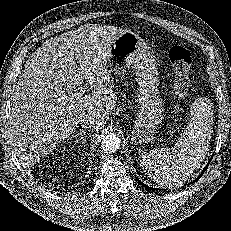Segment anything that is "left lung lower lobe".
Listing matches in <instances>:
<instances>
[{
	"label": "left lung lower lobe",
	"instance_id": "1",
	"mask_svg": "<svg viewBox=\"0 0 231 231\" xmlns=\"http://www.w3.org/2000/svg\"><path fill=\"white\" fill-rule=\"evenodd\" d=\"M210 162H211V159L209 160L207 166L204 168V170L202 171V173L198 176V178L195 179V181H197L198 179H200V177L202 176V174L204 173V171L207 169V167H208V165H209ZM138 181H139V183H140L142 186H144V187H146V188H148V189H150V190H156L155 188H152V187H149V186L143 184L140 180H138ZM195 181H194V182H195ZM157 190H158V189H157Z\"/></svg>",
	"mask_w": 231,
	"mask_h": 231
}]
</instances>
